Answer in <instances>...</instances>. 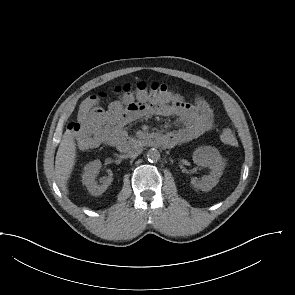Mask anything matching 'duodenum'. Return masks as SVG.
Returning <instances> with one entry per match:
<instances>
[{
  "instance_id": "obj_1",
  "label": "duodenum",
  "mask_w": 295,
  "mask_h": 295,
  "mask_svg": "<svg viewBox=\"0 0 295 295\" xmlns=\"http://www.w3.org/2000/svg\"><path fill=\"white\" fill-rule=\"evenodd\" d=\"M137 143L149 147H158L166 144V138L158 134H150L138 139ZM115 145L118 146L122 151H126L132 146L130 142H127L124 139L120 140Z\"/></svg>"
}]
</instances>
